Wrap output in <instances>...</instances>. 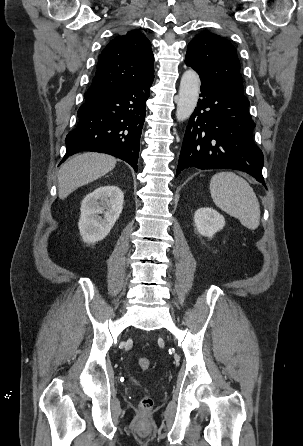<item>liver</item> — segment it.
Segmentation results:
<instances>
[{
    "label": "liver",
    "instance_id": "obj_1",
    "mask_svg": "<svg viewBox=\"0 0 303 446\" xmlns=\"http://www.w3.org/2000/svg\"><path fill=\"white\" fill-rule=\"evenodd\" d=\"M117 160L106 154L87 152L65 162L58 174V195L64 200L74 190L111 171Z\"/></svg>",
    "mask_w": 303,
    "mask_h": 446
}]
</instances>
